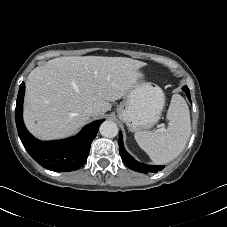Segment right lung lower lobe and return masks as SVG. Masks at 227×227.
<instances>
[{
    "label": "right lung lower lobe",
    "mask_w": 227,
    "mask_h": 227,
    "mask_svg": "<svg viewBox=\"0 0 227 227\" xmlns=\"http://www.w3.org/2000/svg\"><path fill=\"white\" fill-rule=\"evenodd\" d=\"M24 93L25 83L22 82L16 102L15 119L19 137L29 155L42 167L56 172L74 171L83 166L91 143L104 120L86 125L78 135L72 138L45 142L37 140L28 132L23 122Z\"/></svg>",
    "instance_id": "1"
}]
</instances>
